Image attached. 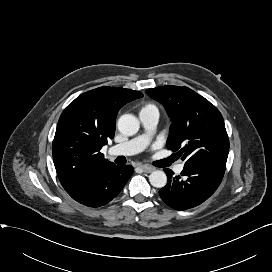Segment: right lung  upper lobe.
Segmentation results:
<instances>
[{"label": "right lung upper lobe", "mask_w": 272, "mask_h": 272, "mask_svg": "<svg viewBox=\"0 0 272 272\" xmlns=\"http://www.w3.org/2000/svg\"><path fill=\"white\" fill-rule=\"evenodd\" d=\"M142 96L131 89L99 87L81 94L66 107L52 147L56 172L65 190L113 164L100 150L114 137L119 109Z\"/></svg>", "instance_id": "1"}]
</instances>
